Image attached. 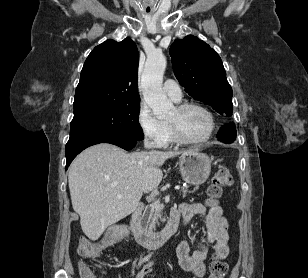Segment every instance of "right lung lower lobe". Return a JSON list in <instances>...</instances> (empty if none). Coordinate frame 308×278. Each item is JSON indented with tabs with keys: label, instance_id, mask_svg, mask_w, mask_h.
<instances>
[{
	"label": "right lung lower lobe",
	"instance_id": "right-lung-lower-lobe-1",
	"mask_svg": "<svg viewBox=\"0 0 308 278\" xmlns=\"http://www.w3.org/2000/svg\"><path fill=\"white\" fill-rule=\"evenodd\" d=\"M137 139L119 135H83L69 138L65 147L66 170L72 160L84 149L98 143H111L125 150H130L136 145Z\"/></svg>",
	"mask_w": 308,
	"mask_h": 278
}]
</instances>
